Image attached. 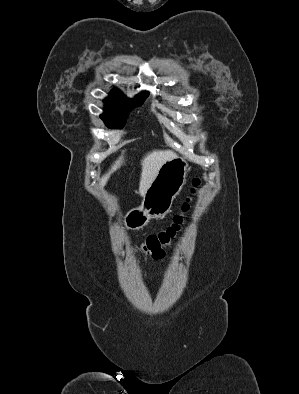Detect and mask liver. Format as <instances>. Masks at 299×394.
<instances>
[{"instance_id": "obj_1", "label": "liver", "mask_w": 299, "mask_h": 394, "mask_svg": "<svg viewBox=\"0 0 299 394\" xmlns=\"http://www.w3.org/2000/svg\"><path fill=\"white\" fill-rule=\"evenodd\" d=\"M175 157V153L170 150H154L148 153L141 161L142 172L139 183V193L144 196L147 190L150 188L155 177L157 176L161 166L169 159ZM123 156L119 157L118 160L112 165L108 173L103 175L99 181V185L104 187L110 177V175L121 167L123 164Z\"/></svg>"}]
</instances>
